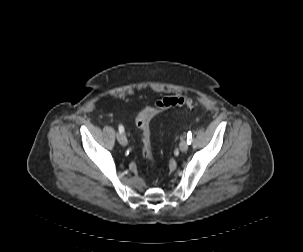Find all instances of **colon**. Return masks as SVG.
Masks as SVG:
<instances>
[{
	"mask_svg": "<svg viewBox=\"0 0 303 252\" xmlns=\"http://www.w3.org/2000/svg\"><path fill=\"white\" fill-rule=\"evenodd\" d=\"M174 106H185L189 109H194L198 107V104L188 96L174 95L158 100L154 105L145 108L137 115L136 125L141 133L142 153L144 157L150 160L154 159L150 148V119L158 111Z\"/></svg>",
	"mask_w": 303,
	"mask_h": 252,
	"instance_id": "1",
	"label": "colon"
}]
</instances>
